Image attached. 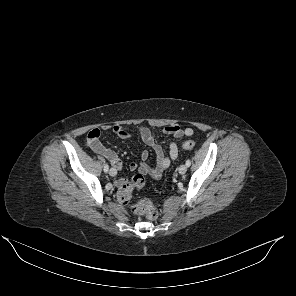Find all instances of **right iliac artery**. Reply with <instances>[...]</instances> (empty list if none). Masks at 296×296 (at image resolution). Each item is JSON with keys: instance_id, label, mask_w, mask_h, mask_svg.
<instances>
[{"instance_id": "right-iliac-artery-1", "label": "right iliac artery", "mask_w": 296, "mask_h": 296, "mask_svg": "<svg viewBox=\"0 0 296 296\" xmlns=\"http://www.w3.org/2000/svg\"><path fill=\"white\" fill-rule=\"evenodd\" d=\"M108 170H109V166H108V164H105V166H104V172H108Z\"/></svg>"}]
</instances>
